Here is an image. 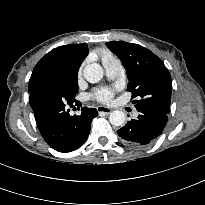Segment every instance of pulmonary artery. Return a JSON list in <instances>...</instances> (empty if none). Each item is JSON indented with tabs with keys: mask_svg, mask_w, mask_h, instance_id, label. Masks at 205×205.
Listing matches in <instances>:
<instances>
[{
	"mask_svg": "<svg viewBox=\"0 0 205 205\" xmlns=\"http://www.w3.org/2000/svg\"><path fill=\"white\" fill-rule=\"evenodd\" d=\"M104 68H105V72L107 76L110 78H113L117 76L120 71V62L118 60H114L110 62L109 64L105 65ZM137 115L138 113L135 112L134 116H137Z\"/></svg>",
	"mask_w": 205,
	"mask_h": 205,
	"instance_id": "obj_1",
	"label": "pulmonary artery"
}]
</instances>
